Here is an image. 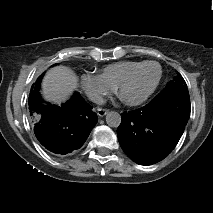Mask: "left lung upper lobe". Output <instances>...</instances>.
I'll return each mask as SVG.
<instances>
[{"label": "left lung upper lobe", "mask_w": 213, "mask_h": 213, "mask_svg": "<svg viewBox=\"0 0 213 213\" xmlns=\"http://www.w3.org/2000/svg\"><path fill=\"white\" fill-rule=\"evenodd\" d=\"M179 89V90H188L187 85L183 77L178 73V76L175 77L172 81L168 82L166 87L163 89Z\"/></svg>", "instance_id": "left-lung-upper-lobe-1"}]
</instances>
